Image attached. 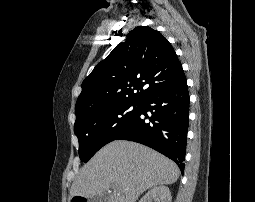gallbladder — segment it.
Returning a JSON list of instances; mask_svg holds the SVG:
<instances>
[{
  "instance_id": "1",
  "label": "gallbladder",
  "mask_w": 255,
  "mask_h": 202,
  "mask_svg": "<svg viewBox=\"0 0 255 202\" xmlns=\"http://www.w3.org/2000/svg\"><path fill=\"white\" fill-rule=\"evenodd\" d=\"M89 202H109V196L107 194L96 195Z\"/></svg>"
}]
</instances>
